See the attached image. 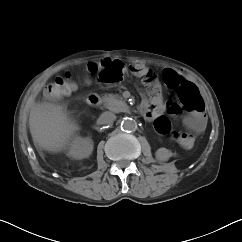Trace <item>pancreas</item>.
Instances as JSON below:
<instances>
[{
	"label": "pancreas",
	"instance_id": "obj_1",
	"mask_svg": "<svg viewBox=\"0 0 242 242\" xmlns=\"http://www.w3.org/2000/svg\"><path fill=\"white\" fill-rule=\"evenodd\" d=\"M105 107L113 112H123L127 110V104L119 95L108 94L103 97Z\"/></svg>",
	"mask_w": 242,
	"mask_h": 242
}]
</instances>
